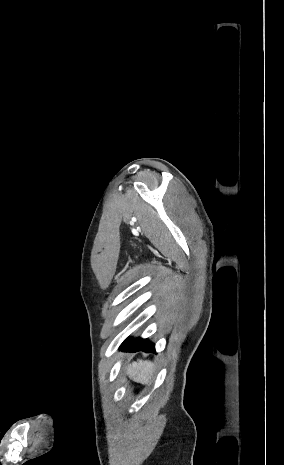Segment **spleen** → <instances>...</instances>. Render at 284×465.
<instances>
[{"label":"spleen","mask_w":284,"mask_h":465,"mask_svg":"<svg viewBox=\"0 0 284 465\" xmlns=\"http://www.w3.org/2000/svg\"><path fill=\"white\" fill-rule=\"evenodd\" d=\"M154 373L155 365L151 361H134L127 367L128 377L141 385H149Z\"/></svg>","instance_id":"spleen-1"}]
</instances>
